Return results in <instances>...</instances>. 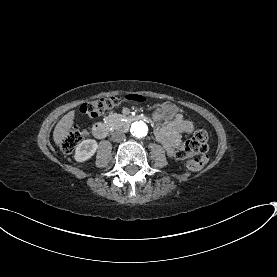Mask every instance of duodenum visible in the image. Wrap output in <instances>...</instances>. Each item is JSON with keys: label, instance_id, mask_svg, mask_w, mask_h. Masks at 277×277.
Here are the masks:
<instances>
[{"label": "duodenum", "instance_id": "obj_1", "mask_svg": "<svg viewBox=\"0 0 277 277\" xmlns=\"http://www.w3.org/2000/svg\"><path fill=\"white\" fill-rule=\"evenodd\" d=\"M130 120V118H126L120 123H118L116 126L121 129L126 128ZM112 128V124L100 122L93 127V134L97 138H104Z\"/></svg>", "mask_w": 277, "mask_h": 277}]
</instances>
